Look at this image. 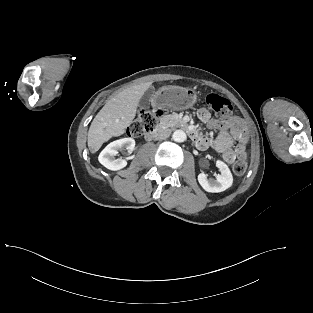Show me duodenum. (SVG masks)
<instances>
[{
    "instance_id": "410a0bca",
    "label": "duodenum",
    "mask_w": 313,
    "mask_h": 313,
    "mask_svg": "<svg viewBox=\"0 0 313 313\" xmlns=\"http://www.w3.org/2000/svg\"><path fill=\"white\" fill-rule=\"evenodd\" d=\"M164 130H165V126L162 125V124H160V125H158L153 131L147 133V134L145 135V137H146L147 140L155 139V138H157L158 136H160V135L164 132ZM187 131H188L189 136H190L193 140H196V139H197L198 134H197V132H196L194 129L188 128Z\"/></svg>"
}]
</instances>
